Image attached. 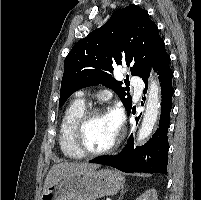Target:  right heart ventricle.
<instances>
[{"label":"right heart ventricle","mask_w":201,"mask_h":200,"mask_svg":"<svg viewBox=\"0 0 201 200\" xmlns=\"http://www.w3.org/2000/svg\"><path fill=\"white\" fill-rule=\"evenodd\" d=\"M82 99H75L67 107L59 129V146L64 156L70 159H81L84 156L74 147L72 142L73 126L85 109Z\"/></svg>","instance_id":"right-heart-ventricle-1"}]
</instances>
